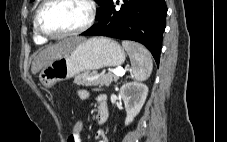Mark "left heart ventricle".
<instances>
[{"instance_id":"obj_1","label":"left heart ventricle","mask_w":227,"mask_h":142,"mask_svg":"<svg viewBox=\"0 0 227 142\" xmlns=\"http://www.w3.org/2000/svg\"><path fill=\"white\" fill-rule=\"evenodd\" d=\"M88 18V8L81 0H56L41 15L44 30L64 33L82 26Z\"/></svg>"}]
</instances>
